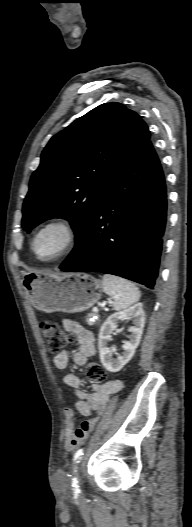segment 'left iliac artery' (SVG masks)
<instances>
[{
	"label": "left iliac artery",
	"instance_id": "1",
	"mask_svg": "<svg viewBox=\"0 0 192 527\" xmlns=\"http://www.w3.org/2000/svg\"><path fill=\"white\" fill-rule=\"evenodd\" d=\"M83 455V449H79L77 450V452L75 453L74 455V462H79L78 460L81 458V456ZM72 486L74 487L75 490H79V485H78V480L77 478H73L72 480Z\"/></svg>",
	"mask_w": 192,
	"mask_h": 527
}]
</instances>
